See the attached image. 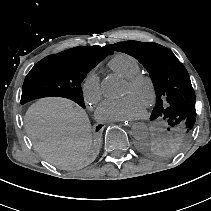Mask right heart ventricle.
<instances>
[{
  "mask_svg": "<svg viewBox=\"0 0 211 211\" xmlns=\"http://www.w3.org/2000/svg\"><path fill=\"white\" fill-rule=\"evenodd\" d=\"M109 67L123 78H130L141 71L140 62L128 53H117L109 63Z\"/></svg>",
  "mask_w": 211,
  "mask_h": 211,
  "instance_id": "1",
  "label": "right heart ventricle"
}]
</instances>
